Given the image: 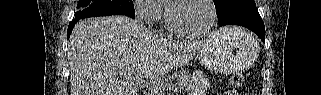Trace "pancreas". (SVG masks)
Here are the masks:
<instances>
[{
  "instance_id": "1",
  "label": "pancreas",
  "mask_w": 321,
  "mask_h": 95,
  "mask_svg": "<svg viewBox=\"0 0 321 95\" xmlns=\"http://www.w3.org/2000/svg\"><path fill=\"white\" fill-rule=\"evenodd\" d=\"M175 78L177 80L176 86L182 90H191L193 89V83L191 76L187 70L179 71L175 74ZM163 88H155L154 87V94L161 95V91Z\"/></svg>"
}]
</instances>
